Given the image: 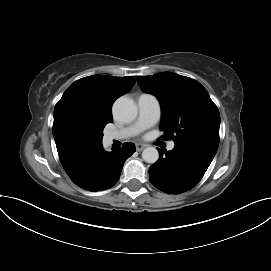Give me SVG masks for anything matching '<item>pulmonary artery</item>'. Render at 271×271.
Here are the masks:
<instances>
[{
  "label": "pulmonary artery",
  "mask_w": 271,
  "mask_h": 271,
  "mask_svg": "<svg viewBox=\"0 0 271 271\" xmlns=\"http://www.w3.org/2000/svg\"><path fill=\"white\" fill-rule=\"evenodd\" d=\"M139 114L136 122L128 127L107 133L108 141L122 140L135 136L142 130L154 125L160 117V103L158 99L148 93L141 94L137 99ZM175 146L173 141L169 142L168 149L172 150Z\"/></svg>",
  "instance_id": "obj_1"
}]
</instances>
